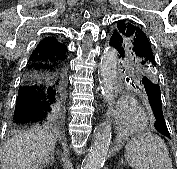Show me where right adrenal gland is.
Listing matches in <instances>:
<instances>
[{"instance_id":"1","label":"right adrenal gland","mask_w":177,"mask_h":169,"mask_svg":"<svg viewBox=\"0 0 177 169\" xmlns=\"http://www.w3.org/2000/svg\"><path fill=\"white\" fill-rule=\"evenodd\" d=\"M53 153H54V152H53ZM53 153L51 154L52 159H53ZM51 162H53V161L51 160L50 163H51Z\"/></svg>"}]
</instances>
